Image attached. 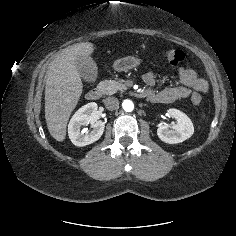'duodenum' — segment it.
I'll list each match as a JSON object with an SVG mask.
<instances>
[{"mask_svg": "<svg viewBox=\"0 0 236 236\" xmlns=\"http://www.w3.org/2000/svg\"><path fill=\"white\" fill-rule=\"evenodd\" d=\"M103 92H104V89L102 86L92 88L87 92L86 98L89 101H96L102 96Z\"/></svg>", "mask_w": 236, "mask_h": 236, "instance_id": "410a0bca", "label": "duodenum"}]
</instances>
